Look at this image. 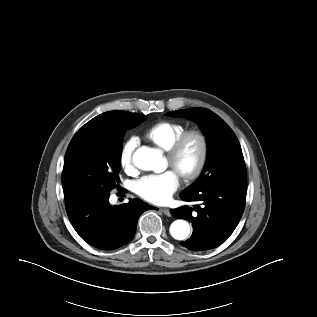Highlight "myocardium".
<instances>
[{"mask_svg":"<svg viewBox=\"0 0 317 317\" xmlns=\"http://www.w3.org/2000/svg\"><path fill=\"white\" fill-rule=\"evenodd\" d=\"M191 140L198 143V156L194 164L187 169L180 167L181 155ZM209 143L206 134L198 129L186 130L167 151L170 165L186 180H192L199 176L207 161Z\"/></svg>","mask_w":317,"mask_h":317,"instance_id":"obj_1","label":"myocardium"}]
</instances>
